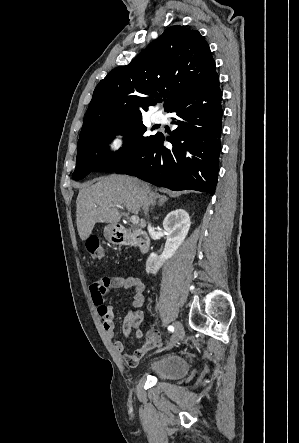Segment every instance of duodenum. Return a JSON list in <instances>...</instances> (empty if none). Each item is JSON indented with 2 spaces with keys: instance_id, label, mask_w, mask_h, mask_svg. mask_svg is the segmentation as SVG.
<instances>
[{
  "instance_id": "410a0bca",
  "label": "duodenum",
  "mask_w": 299,
  "mask_h": 443,
  "mask_svg": "<svg viewBox=\"0 0 299 443\" xmlns=\"http://www.w3.org/2000/svg\"><path fill=\"white\" fill-rule=\"evenodd\" d=\"M131 238H134L138 244L141 253H147L150 249V239L147 233L143 230L131 231L123 225H116L112 234V242L127 246L131 244Z\"/></svg>"
}]
</instances>
